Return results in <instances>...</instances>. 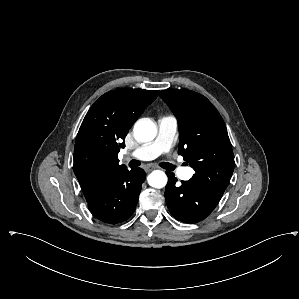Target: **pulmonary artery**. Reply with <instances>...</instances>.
Returning <instances> with one entry per match:
<instances>
[{
  "instance_id": "pulmonary-artery-1",
  "label": "pulmonary artery",
  "mask_w": 299,
  "mask_h": 299,
  "mask_svg": "<svg viewBox=\"0 0 299 299\" xmlns=\"http://www.w3.org/2000/svg\"><path fill=\"white\" fill-rule=\"evenodd\" d=\"M177 119L173 115L162 116L158 120V134L155 140L144 144L129 155L138 160H152L170 150L177 132ZM179 177L189 180L194 171L190 167H176Z\"/></svg>"
}]
</instances>
